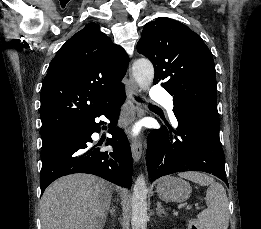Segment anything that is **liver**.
Returning a JSON list of instances; mask_svg holds the SVG:
<instances>
[{"label":"liver","mask_w":261,"mask_h":229,"mask_svg":"<svg viewBox=\"0 0 261 229\" xmlns=\"http://www.w3.org/2000/svg\"><path fill=\"white\" fill-rule=\"evenodd\" d=\"M113 185L94 175H67L44 191L41 229H103Z\"/></svg>","instance_id":"6515ba94"}]
</instances>
